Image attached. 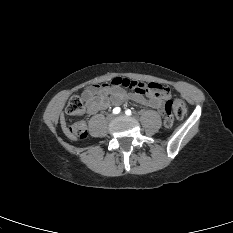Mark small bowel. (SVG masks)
<instances>
[{"instance_id": "obj_1", "label": "small bowel", "mask_w": 233, "mask_h": 233, "mask_svg": "<svg viewBox=\"0 0 233 233\" xmlns=\"http://www.w3.org/2000/svg\"><path fill=\"white\" fill-rule=\"evenodd\" d=\"M123 78H115L120 80ZM142 83V82H141ZM159 87L158 91H134L129 93L119 84H100L88 87L82 93L86 101V108L89 114H97L100 110L107 109L111 106H118L125 100H132L138 105L152 107L158 111H163L165 99L169 96V89L158 83L145 84ZM147 96L148 99L145 97Z\"/></svg>"}]
</instances>
